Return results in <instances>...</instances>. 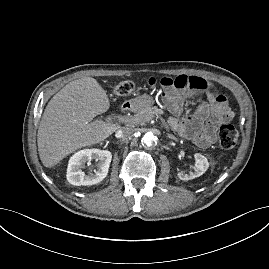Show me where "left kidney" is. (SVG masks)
<instances>
[{
    "label": "left kidney",
    "instance_id": "5707ae66",
    "mask_svg": "<svg viewBox=\"0 0 269 269\" xmlns=\"http://www.w3.org/2000/svg\"><path fill=\"white\" fill-rule=\"evenodd\" d=\"M194 159H195V171L190 172L189 174L179 172L178 177L180 180L188 181L197 178L206 172V170L209 167V162L207 158L200 153H196L194 154Z\"/></svg>",
    "mask_w": 269,
    "mask_h": 269
}]
</instances>
